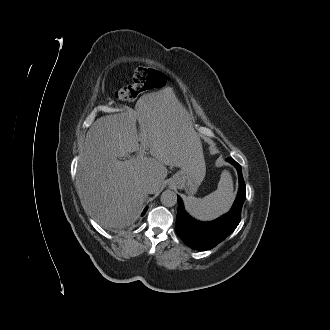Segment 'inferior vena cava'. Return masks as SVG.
Instances as JSON below:
<instances>
[{"mask_svg":"<svg viewBox=\"0 0 330 330\" xmlns=\"http://www.w3.org/2000/svg\"><path fill=\"white\" fill-rule=\"evenodd\" d=\"M155 189H156V183L154 182V180L153 179L147 180L145 183V191L148 194H152L155 192Z\"/></svg>","mask_w":330,"mask_h":330,"instance_id":"inferior-vena-cava-1","label":"inferior vena cava"}]
</instances>
